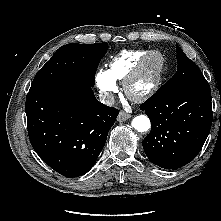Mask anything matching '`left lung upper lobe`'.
<instances>
[{"label":"left lung upper lobe","mask_w":221,"mask_h":221,"mask_svg":"<svg viewBox=\"0 0 221 221\" xmlns=\"http://www.w3.org/2000/svg\"><path fill=\"white\" fill-rule=\"evenodd\" d=\"M176 50L177 72L158 91L186 88L210 89L208 82L197 65L185 55L178 45H176Z\"/></svg>","instance_id":"obj_1"}]
</instances>
